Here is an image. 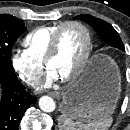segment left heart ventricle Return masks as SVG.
Segmentation results:
<instances>
[{
    "label": "left heart ventricle",
    "mask_w": 130,
    "mask_h": 130,
    "mask_svg": "<svg viewBox=\"0 0 130 130\" xmlns=\"http://www.w3.org/2000/svg\"><path fill=\"white\" fill-rule=\"evenodd\" d=\"M86 49V35L77 26L67 27L59 42L56 56L47 69L55 72L60 79L70 75L79 65Z\"/></svg>",
    "instance_id": "1"
}]
</instances>
